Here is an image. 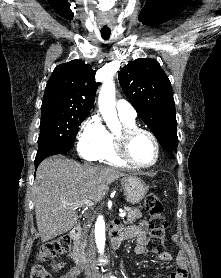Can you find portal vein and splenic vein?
<instances>
[{"instance_id": "portal-vein-and-splenic-vein-1", "label": "portal vein and splenic vein", "mask_w": 221, "mask_h": 278, "mask_svg": "<svg viewBox=\"0 0 221 278\" xmlns=\"http://www.w3.org/2000/svg\"><path fill=\"white\" fill-rule=\"evenodd\" d=\"M94 203L91 201V200H83L77 204H73V206L75 208H79L80 206H86V207H91L93 206ZM120 217H125L126 216V212H123V211H119V214H118Z\"/></svg>"}]
</instances>
